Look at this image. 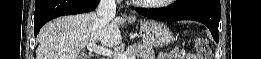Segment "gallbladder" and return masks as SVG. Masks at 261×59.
<instances>
[{"mask_svg": "<svg viewBox=\"0 0 261 59\" xmlns=\"http://www.w3.org/2000/svg\"><path fill=\"white\" fill-rule=\"evenodd\" d=\"M79 59H86V56L81 55V56H79Z\"/></svg>", "mask_w": 261, "mask_h": 59, "instance_id": "bac80fb5", "label": "gallbladder"}]
</instances>
